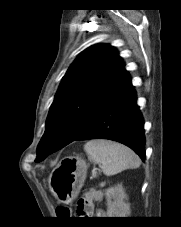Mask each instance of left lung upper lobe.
<instances>
[{
    "mask_svg": "<svg viewBox=\"0 0 181 227\" xmlns=\"http://www.w3.org/2000/svg\"><path fill=\"white\" fill-rule=\"evenodd\" d=\"M129 75L110 45L87 48L64 75L51 105L36 162L76 140L97 108Z\"/></svg>",
    "mask_w": 181,
    "mask_h": 227,
    "instance_id": "1",
    "label": "left lung upper lobe"
}]
</instances>
